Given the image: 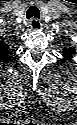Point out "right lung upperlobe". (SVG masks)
Returning <instances> with one entry per match:
<instances>
[{
  "label": "right lung upper lobe",
  "mask_w": 77,
  "mask_h": 125,
  "mask_svg": "<svg viewBox=\"0 0 77 125\" xmlns=\"http://www.w3.org/2000/svg\"><path fill=\"white\" fill-rule=\"evenodd\" d=\"M8 53H9L8 48L2 43H0V57L6 58Z\"/></svg>",
  "instance_id": "right-lung-upper-lobe-1"
}]
</instances>
